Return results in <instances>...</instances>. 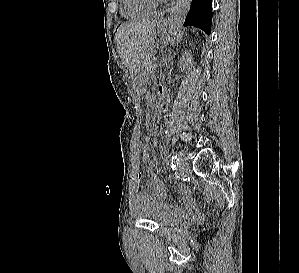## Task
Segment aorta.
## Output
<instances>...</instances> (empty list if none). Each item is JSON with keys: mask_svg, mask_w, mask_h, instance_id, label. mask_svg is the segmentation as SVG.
Returning <instances> with one entry per match:
<instances>
[{"mask_svg": "<svg viewBox=\"0 0 299 273\" xmlns=\"http://www.w3.org/2000/svg\"><path fill=\"white\" fill-rule=\"evenodd\" d=\"M192 0H174L170 7L169 34L175 37L181 30Z\"/></svg>", "mask_w": 299, "mask_h": 273, "instance_id": "aorta-1", "label": "aorta"}]
</instances>
